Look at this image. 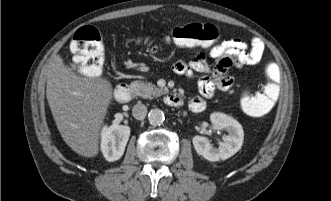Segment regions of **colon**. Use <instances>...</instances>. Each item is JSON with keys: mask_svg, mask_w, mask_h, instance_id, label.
Segmentation results:
<instances>
[{"mask_svg": "<svg viewBox=\"0 0 331 201\" xmlns=\"http://www.w3.org/2000/svg\"><path fill=\"white\" fill-rule=\"evenodd\" d=\"M220 34L212 24L191 23L168 30L163 40L171 45L182 47H213L218 45ZM152 39L143 37L140 43L152 45ZM71 48L74 53L75 69L87 76L99 75L105 61L104 44L99 31L93 26L80 28L74 35ZM265 76L267 82L260 91L244 89L240 95L243 111L254 117L266 115L274 107L279 96L282 71L277 63L271 61L266 64Z\"/></svg>", "mask_w": 331, "mask_h": 201, "instance_id": "colon-1", "label": "colon"}]
</instances>
